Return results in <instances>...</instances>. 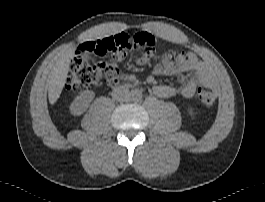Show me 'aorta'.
I'll return each instance as SVG.
<instances>
[{
  "label": "aorta",
  "instance_id": "aorta-1",
  "mask_svg": "<svg viewBox=\"0 0 265 202\" xmlns=\"http://www.w3.org/2000/svg\"><path fill=\"white\" fill-rule=\"evenodd\" d=\"M141 96H142V94L139 90H132L131 91L130 97L132 100H135V101L139 100L141 98Z\"/></svg>",
  "mask_w": 265,
  "mask_h": 202
}]
</instances>
